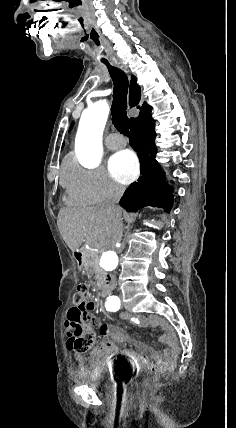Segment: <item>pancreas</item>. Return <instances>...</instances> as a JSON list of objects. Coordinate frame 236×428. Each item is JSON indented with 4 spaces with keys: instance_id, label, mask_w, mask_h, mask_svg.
<instances>
[{
    "instance_id": "obj_1",
    "label": "pancreas",
    "mask_w": 236,
    "mask_h": 428,
    "mask_svg": "<svg viewBox=\"0 0 236 428\" xmlns=\"http://www.w3.org/2000/svg\"><path fill=\"white\" fill-rule=\"evenodd\" d=\"M101 254H92V252H88L86 256V264L87 268H91L90 272H93V274H96L95 278L98 280V274H99V260H100ZM95 286H97L96 282H94Z\"/></svg>"
}]
</instances>
